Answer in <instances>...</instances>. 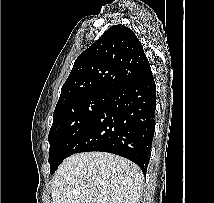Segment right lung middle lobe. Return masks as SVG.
Segmentation results:
<instances>
[{"label":"right lung middle lobe","mask_w":214,"mask_h":203,"mask_svg":"<svg viewBox=\"0 0 214 203\" xmlns=\"http://www.w3.org/2000/svg\"><path fill=\"white\" fill-rule=\"evenodd\" d=\"M110 94L93 93L55 108L53 124L48 135L49 164L53 174L69 156L75 142L90 127L106 104Z\"/></svg>","instance_id":"right-lung-middle-lobe-1"}]
</instances>
